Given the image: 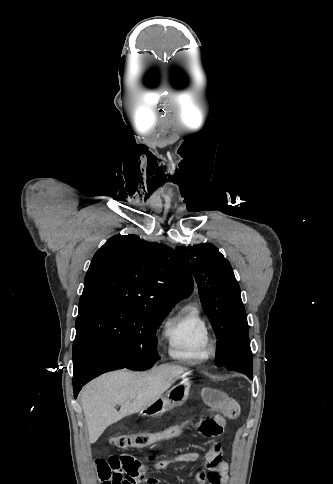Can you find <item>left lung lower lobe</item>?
Masks as SVG:
<instances>
[{"label": "left lung lower lobe", "mask_w": 333, "mask_h": 484, "mask_svg": "<svg viewBox=\"0 0 333 484\" xmlns=\"http://www.w3.org/2000/svg\"><path fill=\"white\" fill-rule=\"evenodd\" d=\"M229 362L242 364L246 370L247 376L252 379V353L248 332L244 333L234 344L230 352Z\"/></svg>", "instance_id": "left-lung-lower-lobe-1"}]
</instances>
